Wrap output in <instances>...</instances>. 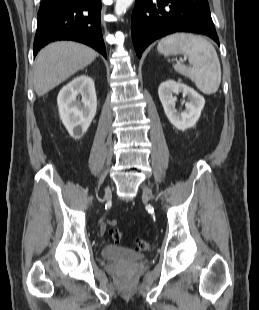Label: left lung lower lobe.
<instances>
[{"mask_svg": "<svg viewBox=\"0 0 259 310\" xmlns=\"http://www.w3.org/2000/svg\"><path fill=\"white\" fill-rule=\"evenodd\" d=\"M131 32L137 56L156 39L174 32H193L219 39L207 0H136Z\"/></svg>", "mask_w": 259, "mask_h": 310, "instance_id": "left-lung-lower-lobe-1", "label": "left lung lower lobe"}]
</instances>
